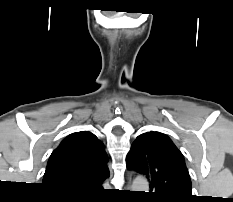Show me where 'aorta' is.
I'll return each instance as SVG.
<instances>
[{"label": "aorta", "mask_w": 233, "mask_h": 202, "mask_svg": "<svg viewBox=\"0 0 233 202\" xmlns=\"http://www.w3.org/2000/svg\"><path fill=\"white\" fill-rule=\"evenodd\" d=\"M133 191H147L148 190V182L146 179L137 178L134 180L132 185Z\"/></svg>", "instance_id": "1"}]
</instances>
